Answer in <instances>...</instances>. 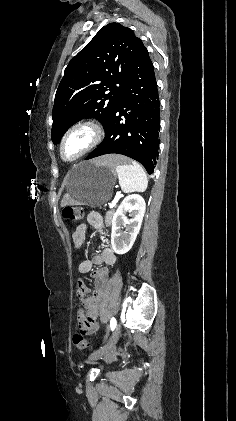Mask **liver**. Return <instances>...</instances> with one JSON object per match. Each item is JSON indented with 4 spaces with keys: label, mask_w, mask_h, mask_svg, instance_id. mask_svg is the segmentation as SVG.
Here are the masks:
<instances>
[{
    "label": "liver",
    "mask_w": 236,
    "mask_h": 421,
    "mask_svg": "<svg viewBox=\"0 0 236 421\" xmlns=\"http://www.w3.org/2000/svg\"><path fill=\"white\" fill-rule=\"evenodd\" d=\"M95 162H100V164H108V166H115L118 162H124V156L120 154H106V156H100ZM66 204H72L69 194H64L61 202V206H66Z\"/></svg>",
    "instance_id": "obj_1"
}]
</instances>
